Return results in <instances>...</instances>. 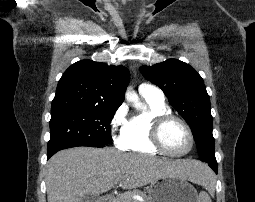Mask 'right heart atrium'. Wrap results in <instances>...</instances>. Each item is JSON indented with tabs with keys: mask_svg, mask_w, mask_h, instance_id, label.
<instances>
[{
	"mask_svg": "<svg viewBox=\"0 0 255 202\" xmlns=\"http://www.w3.org/2000/svg\"><path fill=\"white\" fill-rule=\"evenodd\" d=\"M126 115L127 108L122 104L114 112L109 124L113 141L118 148H125Z\"/></svg>",
	"mask_w": 255,
	"mask_h": 202,
	"instance_id": "obj_1",
	"label": "right heart atrium"
}]
</instances>
